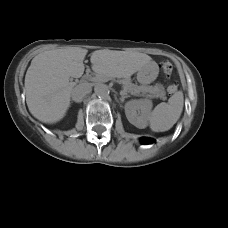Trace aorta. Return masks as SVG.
<instances>
[{"label":"aorta","mask_w":228,"mask_h":228,"mask_svg":"<svg viewBox=\"0 0 228 228\" xmlns=\"http://www.w3.org/2000/svg\"><path fill=\"white\" fill-rule=\"evenodd\" d=\"M95 94L102 99H105L109 95V91L104 84L98 83L94 87Z\"/></svg>","instance_id":"obj_1"}]
</instances>
